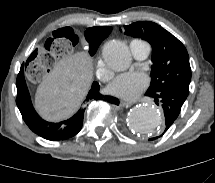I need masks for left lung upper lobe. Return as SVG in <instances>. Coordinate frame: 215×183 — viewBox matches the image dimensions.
I'll use <instances>...</instances> for the list:
<instances>
[{
	"mask_svg": "<svg viewBox=\"0 0 215 183\" xmlns=\"http://www.w3.org/2000/svg\"><path fill=\"white\" fill-rule=\"evenodd\" d=\"M124 32L126 35L145 39L152 46V79L147 92L174 89L187 97L191 68L184 45L160 25L149 21L124 26Z\"/></svg>",
	"mask_w": 215,
	"mask_h": 183,
	"instance_id": "obj_1",
	"label": "left lung upper lobe"
}]
</instances>
